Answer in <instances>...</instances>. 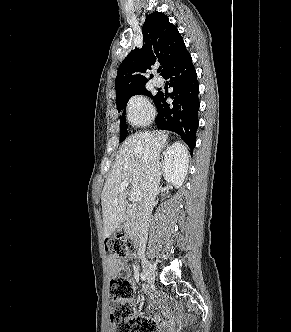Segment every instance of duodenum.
Instances as JSON below:
<instances>
[{
    "label": "duodenum",
    "mask_w": 291,
    "mask_h": 332,
    "mask_svg": "<svg viewBox=\"0 0 291 332\" xmlns=\"http://www.w3.org/2000/svg\"><path fill=\"white\" fill-rule=\"evenodd\" d=\"M141 239L142 238H141L140 233L135 234V236H134V242H135L136 245H139L141 243Z\"/></svg>",
    "instance_id": "obj_1"
}]
</instances>
